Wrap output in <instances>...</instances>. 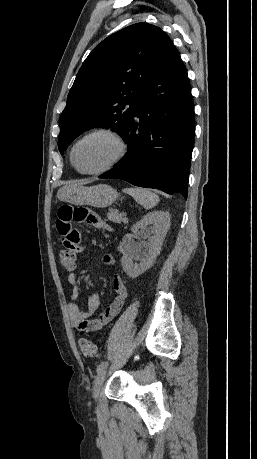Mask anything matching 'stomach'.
Listing matches in <instances>:
<instances>
[{"mask_svg":"<svg viewBox=\"0 0 257 459\" xmlns=\"http://www.w3.org/2000/svg\"><path fill=\"white\" fill-rule=\"evenodd\" d=\"M118 192L107 184L95 186H66L59 190L58 198L61 201L75 205H92L104 208L113 204L118 198Z\"/></svg>","mask_w":257,"mask_h":459,"instance_id":"0dacf381","label":"stomach"}]
</instances>
